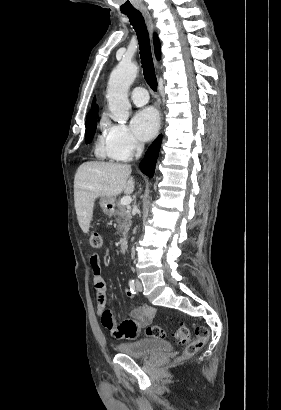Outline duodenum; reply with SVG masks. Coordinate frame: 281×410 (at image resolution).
I'll return each instance as SVG.
<instances>
[{"label": "duodenum", "mask_w": 281, "mask_h": 410, "mask_svg": "<svg viewBox=\"0 0 281 410\" xmlns=\"http://www.w3.org/2000/svg\"><path fill=\"white\" fill-rule=\"evenodd\" d=\"M127 243H128V241L125 238H123L119 241V249H120L121 252L124 253L126 251Z\"/></svg>", "instance_id": "1"}]
</instances>
